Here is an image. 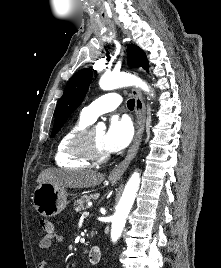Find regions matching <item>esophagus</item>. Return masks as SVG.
Wrapping results in <instances>:
<instances>
[{
    "mask_svg": "<svg viewBox=\"0 0 221 268\" xmlns=\"http://www.w3.org/2000/svg\"><path fill=\"white\" fill-rule=\"evenodd\" d=\"M132 95L135 98V127L136 132L134 140L127 152V155L123 161L116 165L109 174L110 179H120L126 169L128 168L131 160L136 156L139 146L142 141L144 132V120H145V103L142 94L138 88L132 89Z\"/></svg>",
    "mask_w": 221,
    "mask_h": 268,
    "instance_id": "esophagus-1",
    "label": "esophagus"
}]
</instances>
